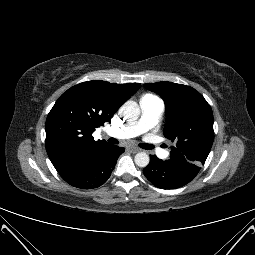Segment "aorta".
<instances>
[{"label":"aorta","instance_id":"762f6f07","mask_svg":"<svg viewBox=\"0 0 255 255\" xmlns=\"http://www.w3.org/2000/svg\"><path fill=\"white\" fill-rule=\"evenodd\" d=\"M122 115L128 121H135L139 118L140 108L134 101H128L122 106ZM135 164L139 167H146L149 164V155L145 152H139L134 157Z\"/></svg>","mask_w":255,"mask_h":255}]
</instances>
